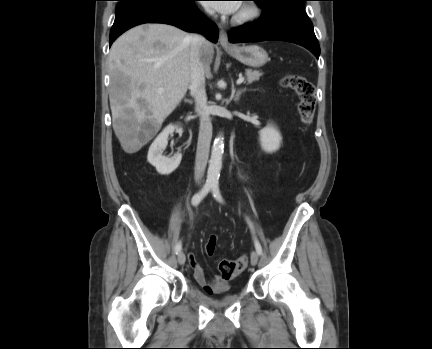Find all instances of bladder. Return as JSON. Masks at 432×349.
I'll use <instances>...</instances> for the list:
<instances>
[{
    "label": "bladder",
    "mask_w": 432,
    "mask_h": 349,
    "mask_svg": "<svg viewBox=\"0 0 432 349\" xmlns=\"http://www.w3.org/2000/svg\"><path fill=\"white\" fill-rule=\"evenodd\" d=\"M195 293L201 301H203L208 305H213V306H221L224 303L236 298L235 294L228 291L223 292L220 296L217 297L209 295L208 293L202 290H196Z\"/></svg>",
    "instance_id": "1"
}]
</instances>
